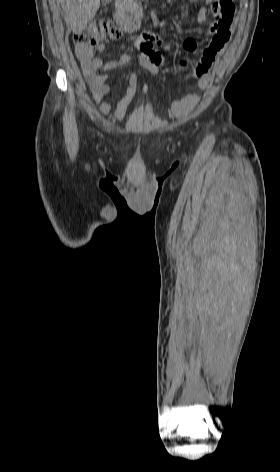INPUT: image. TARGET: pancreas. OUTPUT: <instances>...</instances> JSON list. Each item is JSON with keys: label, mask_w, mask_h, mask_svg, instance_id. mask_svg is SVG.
Listing matches in <instances>:
<instances>
[{"label": "pancreas", "mask_w": 280, "mask_h": 472, "mask_svg": "<svg viewBox=\"0 0 280 472\" xmlns=\"http://www.w3.org/2000/svg\"><path fill=\"white\" fill-rule=\"evenodd\" d=\"M119 1H123V0H119ZM128 1H132V0H128ZM124 2H127V0H124Z\"/></svg>", "instance_id": "1"}]
</instances>
